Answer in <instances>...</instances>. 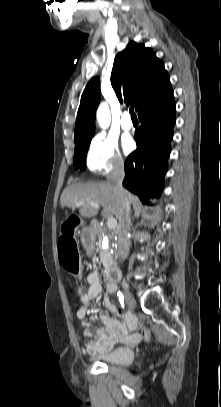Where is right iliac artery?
I'll use <instances>...</instances> for the list:
<instances>
[{
    "instance_id": "82829eb1",
    "label": "right iliac artery",
    "mask_w": 221,
    "mask_h": 407,
    "mask_svg": "<svg viewBox=\"0 0 221 407\" xmlns=\"http://www.w3.org/2000/svg\"><path fill=\"white\" fill-rule=\"evenodd\" d=\"M117 295H118V299H119V301H120V303L122 304V307H124V297H123V294L121 293V292H118L117 293Z\"/></svg>"
}]
</instances>
